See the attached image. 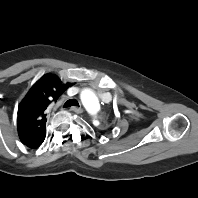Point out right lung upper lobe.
<instances>
[{
  "label": "right lung upper lobe",
  "instance_id": "1",
  "mask_svg": "<svg viewBox=\"0 0 198 198\" xmlns=\"http://www.w3.org/2000/svg\"><path fill=\"white\" fill-rule=\"evenodd\" d=\"M72 84H63L54 74H45L29 90L18 107V134L27 147L37 148L45 139L47 109Z\"/></svg>",
  "mask_w": 198,
  "mask_h": 198
}]
</instances>
